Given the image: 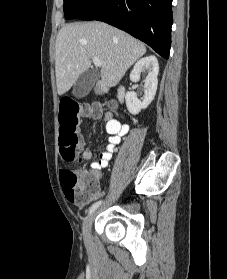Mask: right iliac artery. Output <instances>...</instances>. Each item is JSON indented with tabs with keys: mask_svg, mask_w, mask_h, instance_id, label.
I'll return each mask as SVG.
<instances>
[{
	"mask_svg": "<svg viewBox=\"0 0 227 279\" xmlns=\"http://www.w3.org/2000/svg\"><path fill=\"white\" fill-rule=\"evenodd\" d=\"M102 201L95 202L90 208H89V214H91L93 211H95L100 205Z\"/></svg>",
	"mask_w": 227,
	"mask_h": 279,
	"instance_id": "1",
	"label": "right iliac artery"
}]
</instances>
